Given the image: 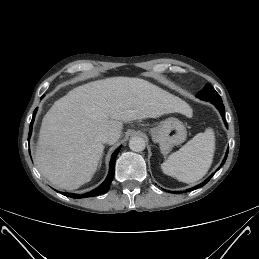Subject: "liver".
Masks as SVG:
<instances>
[{
    "mask_svg": "<svg viewBox=\"0 0 259 259\" xmlns=\"http://www.w3.org/2000/svg\"><path fill=\"white\" fill-rule=\"evenodd\" d=\"M190 115V106L177 96L140 78L110 77L89 82L55 101L45 114L35 162L56 188L74 190L89 182L104 146L100 133L118 141L123 121L156 118L164 114Z\"/></svg>",
    "mask_w": 259,
    "mask_h": 259,
    "instance_id": "liver-1",
    "label": "liver"
}]
</instances>
